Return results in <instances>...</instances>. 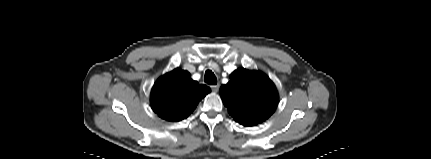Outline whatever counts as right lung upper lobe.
I'll list each match as a JSON object with an SVG mask.
<instances>
[{
	"label": "right lung upper lobe",
	"instance_id": "1",
	"mask_svg": "<svg viewBox=\"0 0 431 159\" xmlns=\"http://www.w3.org/2000/svg\"><path fill=\"white\" fill-rule=\"evenodd\" d=\"M209 92V87L199 85L187 71L176 68L155 82L151 90V107L162 119L181 121Z\"/></svg>",
	"mask_w": 431,
	"mask_h": 159
}]
</instances>
